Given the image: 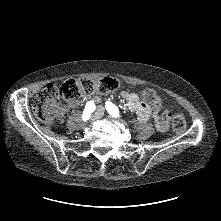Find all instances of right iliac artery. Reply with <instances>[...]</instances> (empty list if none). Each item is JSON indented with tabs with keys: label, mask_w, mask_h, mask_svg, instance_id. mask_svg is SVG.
<instances>
[{
	"label": "right iliac artery",
	"mask_w": 221,
	"mask_h": 221,
	"mask_svg": "<svg viewBox=\"0 0 221 221\" xmlns=\"http://www.w3.org/2000/svg\"><path fill=\"white\" fill-rule=\"evenodd\" d=\"M94 110H95V104L93 101H89L88 103H86L85 109L82 114V119L84 121L89 120Z\"/></svg>",
	"instance_id": "right-iliac-artery-1"
}]
</instances>
